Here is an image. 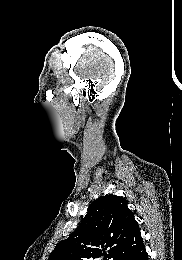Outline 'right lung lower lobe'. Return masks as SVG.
I'll return each instance as SVG.
<instances>
[{
	"label": "right lung lower lobe",
	"instance_id": "1",
	"mask_svg": "<svg viewBox=\"0 0 182 260\" xmlns=\"http://www.w3.org/2000/svg\"><path fill=\"white\" fill-rule=\"evenodd\" d=\"M118 260H148L143 240L124 252Z\"/></svg>",
	"mask_w": 182,
	"mask_h": 260
}]
</instances>
